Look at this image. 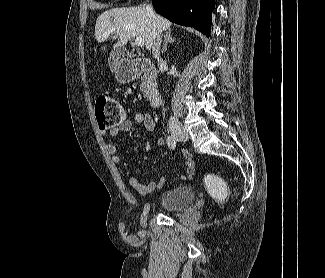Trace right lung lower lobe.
<instances>
[{
  "instance_id": "1",
  "label": "right lung lower lobe",
  "mask_w": 325,
  "mask_h": 278,
  "mask_svg": "<svg viewBox=\"0 0 325 278\" xmlns=\"http://www.w3.org/2000/svg\"><path fill=\"white\" fill-rule=\"evenodd\" d=\"M155 11L170 21L210 36L215 0H152Z\"/></svg>"
}]
</instances>
